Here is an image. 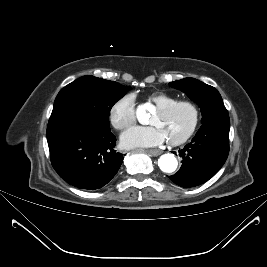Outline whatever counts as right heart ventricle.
Masks as SVG:
<instances>
[{
	"instance_id": "1",
	"label": "right heart ventricle",
	"mask_w": 267,
	"mask_h": 267,
	"mask_svg": "<svg viewBox=\"0 0 267 267\" xmlns=\"http://www.w3.org/2000/svg\"><path fill=\"white\" fill-rule=\"evenodd\" d=\"M149 100L157 107H163L177 101V98L163 92L153 93L149 96Z\"/></svg>"
}]
</instances>
